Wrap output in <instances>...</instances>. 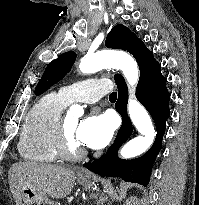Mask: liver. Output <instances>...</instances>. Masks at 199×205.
<instances>
[{
    "label": "liver",
    "mask_w": 199,
    "mask_h": 205,
    "mask_svg": "<svg viewBox=\"0 0 199 205\" xmlns=\"http://www.w3.org/2000/svg\"><path fill=\"white\" fill-rule=\"evenodd\" d=\"M8 178L16 205H20L25 184L42 191L46 196L59 199L72 191L76 176L73 170L58 165L17 162L10 167Z\"/></svg>",
    "instance_id": "6515ba94"
}]
</instances>
